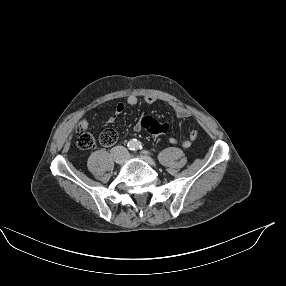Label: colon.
Returning <instances> with one entry per match:
<instances>
[{
    "mask_svg": "<svg viewBox=\"0 0 286 286\" xmlns=\"http://www.w3.org/2000/svg\"><path fill=\"white\" fill-rule=\"evenodd\" d=\"M144 129L148 131L153 137L161 138L168 136L169 125L168 122L161 117H149L144 121ZM118 134L114 129L104 130L100 136L99 141L103 146H111L116 143ZM76 143L79 148L90 150L95 147V137L85 131L82 127L76 129Z\"/></svg>",
    "mask_w": 286,
    "mask_h": 286,
    "instance_id": "obj_1",
    "label": "colon"
}]
</instances>
